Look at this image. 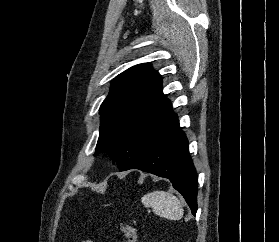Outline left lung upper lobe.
Masks as SVG:
<instances>
[{
    "instance_id": "left-lung-upper-lobe-1",
    "label": "left lung upper lobe",
    "mask_w": 279,
    "mask_h": 242,
    "mask_svg": "<svg viewBox=\"0 0 279 242\" xmlns=\"http://www.w3.org/2000/svg\"><path fill=\"white\" fill-rule=\"evenodd\" d=\"M100 114L95 155L106 152L120 171L178 123L162 93V77L148 63L133 66L113 80Z\"/></svg>"
}]
</instances>
